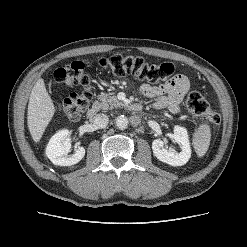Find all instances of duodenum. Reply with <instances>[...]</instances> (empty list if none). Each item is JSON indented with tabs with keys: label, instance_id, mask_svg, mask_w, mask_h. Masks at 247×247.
<instances>
[{
	"label": "duodenum",
	"instance_id": "1",
	"mask_svg": "<svg viewBox=\"0 0 247 247\" xmlns=\"http://www.w3.org/2000/svg\"><path fill=\"white\" fill-rule=\"evenodd\" d=\"M99 105H92L87 111V117L92 118L99 112ZM130 110L134 112H141L143 110V105L141 103H133L130 105Z\"/></svg>",
	"mask_w": 247,
	"mask_h": 247
}]
</instances>
